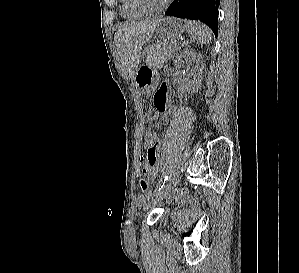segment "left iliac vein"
Listing matches in <instances>:
<instances>
[{
	"instance_id": "1",
	"label": "left iliac vein",
	"mask_w": 299,
	"mask_h": 273,
	"mask_svg": "<svg viewBox=\"0 0 299 273\" xmlns=\"http://www.w3.org/2000/svg\"><path fill=\"white\" fill-rule=\"evenodd\" d=\"M181 180V175H176L173 179H171L160 191H158L155 195V197L145 206V210H148L152 207H154L158 202H160L169 191L173 187H175L179 181Z\"/></svg>"
}]
</instances>
